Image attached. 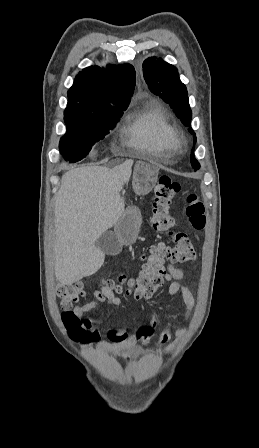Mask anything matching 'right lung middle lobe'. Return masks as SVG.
Wrapping results in <instances>:
<instances>
[{
	"label": "right lung middle lobe",
	"instance_id": "right-lung-middle-lobe-1",
	"mask_svg": "<svg viewBox=\"0 0 259 448\" xmlns=\"http://www.w3.org/2000/svg\"><path fill=\"white\" fill-rule=\"evenodd\" d=\"M125 109L64 115L67 133L59 143L64 159L74 163L85 158L92 146L115 128Z\"/></svg>",
	"mask_w": 259,
	"mask_h": 448
}]
</instances>
